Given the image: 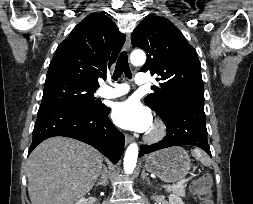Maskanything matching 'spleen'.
I'll list each match as a JSON object with an SVG mask.
<instances>
[{
    "label": "spleen",
    "instance_id": "obj_1",
    "mask_svg": "<svg viewBox=\"0 0 253 204\" xmlns=\"http://www.w3.org/2000/svg\"><path fill=\"white\" fill-rule=\"evenodd\" d=\"M192 154L203 165L205 166L211 165V159L206 154H204L200 149L195 148L194 150H192Z\"/></svg>",
    "mask_w": 253,
    "mask_h": 204
}]
</instances>
